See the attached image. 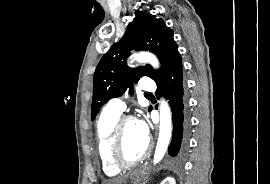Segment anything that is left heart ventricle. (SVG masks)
I'll list each match as a JSON object with an SVG mask.
<instances>
[{
    "label": "left heart ventricle",
    "mask_w": 270,
    "mask_h": 184,
    "mask_svg": "<svg viewBox=\"0 0 270 184\" xmlns=\"http://www.w3.org/2000/svg\"><path fill=\"white\" fill-rule=\"evenodd\" d=\"M148 138L140 131L137 121L126 123L123 130V156L128 160L140 157L146 149Z\"/></svg>",
    "instance_id": "1"
}]
</instances>
